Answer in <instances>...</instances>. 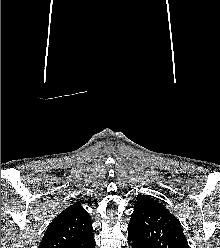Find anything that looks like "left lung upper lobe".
Instances as JSON below:
<instances>
[{"instance_id":"left-lung-upper-lobe-1","label":"left lung upper lobe","mask_w":220,"mask_h":248,"mask_svg":"<svg viewBox=\"0 0 220 248\" xmlns=\"http://www.w3.org/2000/svg\"><path fill=\"white\" fill-rule=\"evenodd\" d=\"M128 232L146 248H189L177 218L149 196L135 203Z\"/></svg>"}]
</instances>
